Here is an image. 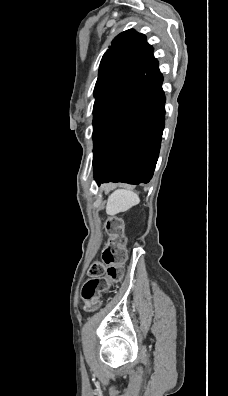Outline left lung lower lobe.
Wrapping results in <instances>:
<instances>
[{
  "instance_id": "0a47b994",
  "label": "left lung lower lobe",
  "mask_w": 228,
  "mask_h": 396,
  "mask_svg": "<svg viewBox=\"0 0 228 396\" xmlns=\"http://www.w3.org/2000/svg\"><path fill=\"white\" fill-rule=\"evenodd\" d=\"M163 77L151 56L141 78L116 102L94 138L98 185L148 183L154 173L165 125Z\"/></svg>"
}]
</instances>
